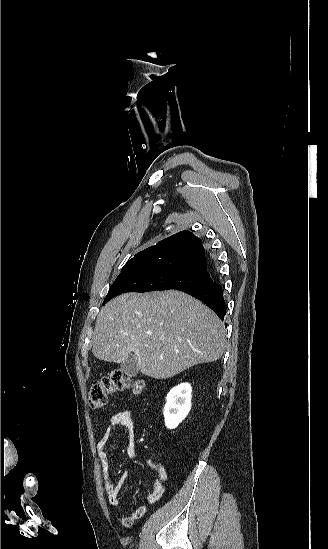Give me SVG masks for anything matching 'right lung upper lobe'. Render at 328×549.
I'll use <instances>...</instances> for the list:
<instances>
[{
  "instance_id": "cb5924a9",
  "label": "right lung upper lobe",
  "mask_w": 328,
  "mask_h": 549,
  "mask_svg": "<svg viewBox=\"0 0 328 549\" xmlns=\"http://www.w3.org/2000/svg\"><path fill=\"white\" fill-rule=\"evenodd\" d=\"M209 261L202 241L189 231H181L131 258L122 271L138 268L174 269L208 278Z\"/></svg>"
}]
</instances>
